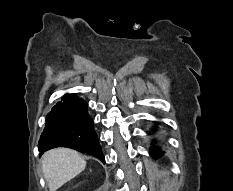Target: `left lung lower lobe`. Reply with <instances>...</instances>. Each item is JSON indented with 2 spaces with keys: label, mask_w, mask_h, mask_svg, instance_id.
I'll list each match as a JSON object with an SVG mask.
<instances>
[{
  "label": "left lung lower lobe",
  "mask_w": 233,
  "mask_h": 191,
  "mask_svg": "<svg viewBox=\"0 0 233 191\" xmlns=\"http://www.w3.org/2000/svg\"><path fill=\"white\" fill-rule=\"evenodd\" d=\"M150 155L154 158V159H157L159 157L162 156V151L160 148H158L157 146H152L151 147V153Z\"/></svg>",
  "instance_id": "1"
}]
</instances>
